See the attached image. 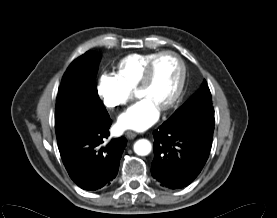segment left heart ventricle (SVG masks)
Instances as JSON below:
<instances>
[{"label": "left heart ventricle", "mask_w": 277, "mask_h": 218, "mask_svg": "<svg viewBox=\"0 0 277 218\" xmlns=\"http://www.w3.org/2000/svg\"><path fill=\"white\" fill-rule=\"evenodd\" d=\"M180 80V66L172 56L160 58L154 68L150 84L138 91L161 108L174 94Z\"/></svg>", "instance_id": "1"}]
</instances>
